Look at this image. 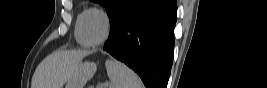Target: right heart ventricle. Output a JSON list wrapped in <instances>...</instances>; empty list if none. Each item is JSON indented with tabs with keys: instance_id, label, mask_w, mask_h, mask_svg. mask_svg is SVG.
Masks as SVG:
<instances>
[{
	"instance_id": "e07e8e85",
	"label": "right heart ventricle",
	"mask_w": 267,
	"mask_h": 88,
	"mask_svg": "<svg viewBox=\"0 0 267 88\" xmlns=\"http://www.w3.org/2000/svg\"><path fill=\"white\" fill-rule=\"evenodd\" d=\"M89 10L90 9H85L79 12L76 18L75 26H74V37L76 41L82 46H86V45L83 42L82 37H81V23H82V18L84 14L88 12Z\"/></svg>"
}]
</instances>
